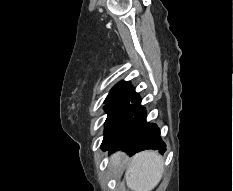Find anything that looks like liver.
<instances>
[{
  "label": "liver",
  "instance_id": "1",
  "mask_svg": "<svg viewBox=\"0 0 233 191\" xmlns=\"http://www.w3.org/2000/svg\"><path fill=\"white\" fill-rule=\"evenodd\" d=\"M125 156L118 152L111 156L115 168L123 166ZM164 158L156 151L137 153L128 164L127 186L132 191H152L160 182L164 172Z\"/></svg>",
  "mask_w": 233,
  "mask_h": 191
}]
</instances>
